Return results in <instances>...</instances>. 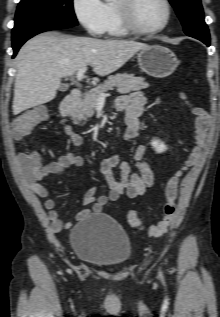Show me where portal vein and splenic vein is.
<instances>
[{
    "mask_svg": "<svg viewBox=\"0 0 220 317\" xmlns=\"http://www.w3.org/2000/svg\"><path fill=\"white\" fill-rule=\"evenodd\" d=\"M87 70V67H82L77 71L76 78L78 81H81L84 78V74ZM107 94L101 93L98 99H105Z\"/></svg>",
    "mask_w": 220,
    "mask_h": 317,
    "instance_id": "portal-vein-and-splenic-vein-1",
    "label": "portal vein and splenic vein"
}]
</instances>
